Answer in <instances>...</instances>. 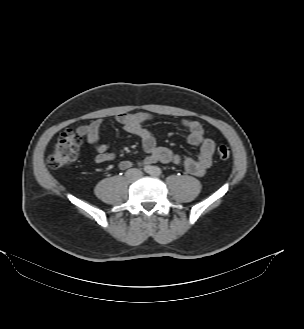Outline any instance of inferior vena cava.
Here are the masks:
<instances>
[{
	"mask_svg": "<svg viewBox=\"0 0 304 329\" xmlns=\"http://www.w3.org/2000/svg\"><path fill=\"white\" fill-rule=\"evenodd\" d=\"M141 176L142 172L139 169L132 168L126 171V177L131 181L138 180Z\"/></svg>",
	"mask_w": 304,
	"mask_h": 329,
	"instance_id": "602c4592",
	"label": "inferior vena cava"
}]
</instances>
